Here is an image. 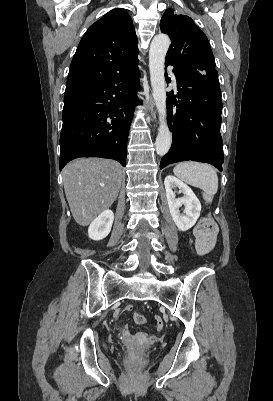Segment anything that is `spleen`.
Returning <instances> with one entry per match:
<instances>
[{
  "instance_id": "1",
  "label": "spleen",
  "mask_w": 273,
  "mask_h": 401,
  "mask_svg": "<svg viewBox=\"0 0 273 401\" xmlns=\"http://www.w3.org/2000/svg\"><path fill=\"white\" fill-rule=\"evenodd\" d=\"M174 174L192 184L202 188L209 196H214L218 190V176L214 166L204 164V162H179L173 168Z\"/></svg>"
}]
</instances>
